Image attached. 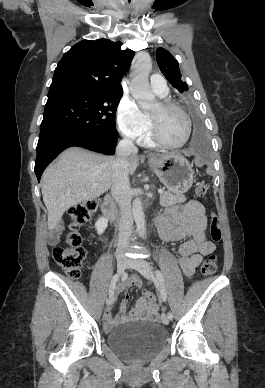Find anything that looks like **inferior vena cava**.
<instances>
[{
	"instance_id": "obj_1",
	"label": "inferior vena cava",
	"mask_w": 265,
	"mask_h": 388,
	"mask_svg": "<svg viewBox=\"0 0 265 388\" xmlns=\"http://www.w3.org/2000/svg\"><path fill=\"white\" fill-rule=\"evenodd\" d=\"M138 148L131 140L124 138L120 140L116 148V156L112 164V196L120 208L119 240L116 256H124L132 234L133 216L131 210V188L129 182V162L131 154H137Z\"/></svg>"
}]
</instances>
